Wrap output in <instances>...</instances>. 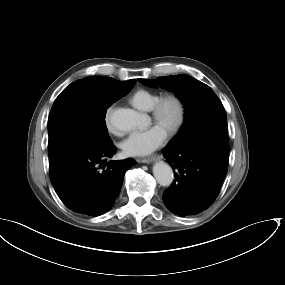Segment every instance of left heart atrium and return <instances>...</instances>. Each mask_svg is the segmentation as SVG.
<instances>
[{"mask_svg":"<svg viewBox=\"0 0 285 285\" xmlns=\"http://www.w3.org/2000/svg\"><path fill=\"white\" fill-rule=\"evenodd\" d=\"M166 131L159 124L146 130L132 132L123 142L122 148L131 157L146 156L159 148L166 139Z\"/></svg>","mask_w":285,"mask_h":285,"instance_id":"obj_1","label":"left heart atrium"}]
</instances>
